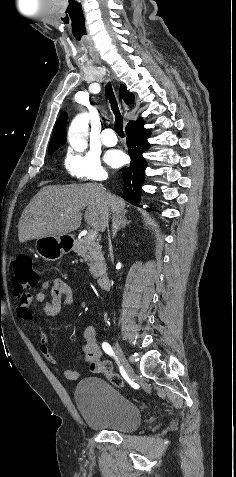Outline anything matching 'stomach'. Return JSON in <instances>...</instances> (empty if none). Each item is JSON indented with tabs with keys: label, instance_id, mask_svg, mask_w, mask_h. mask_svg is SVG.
I'll return each mask as SVG.
<instances>
[{
	"label": "stomach",
	"instance_id": "stomach-1",
	"mask_svg": "<svg viewBox=\"0 0 236 477\" xmlns=\"http://www.w3.org/2000/svg\"><path fill=\"white\" fill-rule=\"evenodd\" d=\"M62 236H47L38 238L35 242V250L39 256L47 261H55L61 258L69 250V242L65 244Z\"/></svg>",
	"mask_w": 236,
	"mask_h": 477
}]
</instances>
